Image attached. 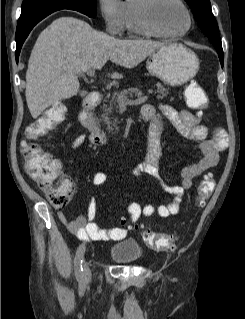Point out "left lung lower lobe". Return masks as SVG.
Returning a JSON list of instances; mask_svg holds the SVG:
<instances>
[{
  "instance_id": "0a47b994",
  "label": "left lung lower lobe",
  "mask_w": 245,
  "mask_h": 319,
  "mask_svg": "<svg viewBox=\"0 0 245 319\" xmlns=\"http://www.w3.org/2000/svg\"><path fill=\"white\" fill-rule=\"evenodd\" d=\"M217 52H218V56H219V59H220V63L221 65L223 66V50H220V49H217Z\"/></svg>"
}]
</instances>
